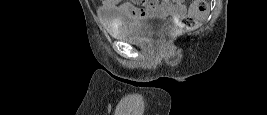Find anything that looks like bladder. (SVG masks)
<instances>
[{
    "label": "bladder",
    "mask_w": 267,
    "mask_h": 115,
    "mask_svg": "<svg viewBox=\"0 0 267 115\" xmlns=\"http://www.w3.org/2000/svg\"><path fill=\"white\" fill-rule=\"evenodd\" d=\"M169 22L166 15L145 14L136 22L106 26L108 33L114 38L128 42H144L159 33Z\"/></svg>",
    "instance_id": "31cf9c89"
}]
</instances>
